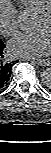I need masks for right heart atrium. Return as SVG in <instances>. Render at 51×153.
Returning <instances> with one entry per match:
<instances>
[{"label": "right heart atrium", "mask_w": 51, "mask_h": 153, "mask_svg": "<svg viewBox=\"0 0 51 153\" xmlns=\"http://www.w3.org/2000/svg\"><path fill=\"white\" fill-rule=\"evenodd\" d=\"M19 30L18 14L10 0H0V33L13 36Z\"/></svg>", "instance_id": "obj_1"}]
</instances>
